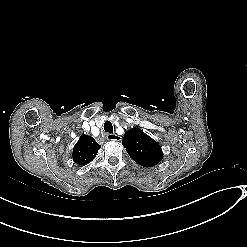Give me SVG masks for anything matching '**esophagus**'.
Listing matches in <instances>:
<instances>
[{
    "mask_svg": "<svg viewBox=\"0 0 247 247\" xmlns=\"http://www.w3.org/2000/svg\"><path fill=\"white\" fill-rule=\"evenodd\" d=\"M107 139L109 141H121L122 140V137L117 135V134H108L107 135Z\"/></svg>",
    "mask_w": 247,
    "mask_h": 247,
    "instance_id": "34e87169",
    "label": "esophagus"
}]
</instances>
